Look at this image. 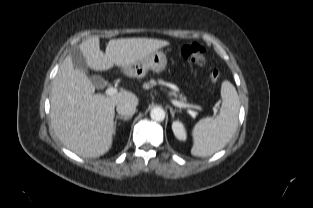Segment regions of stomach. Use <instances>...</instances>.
Instances as JSON below:
<instances>
[{
    "instance_id": "0dacf381",
    "label": "stomach",
    "mask_w": 313,
    "mask_h": 208,
    "mask_svg": "<svg viewBox=\"0 0 313 208\" xmlns=\"http://www.w3.org/2000/svg\"><path fill=\"white\" fill-rule=\"evenodd\" d=\"M167 66L166 55L162 51H154L146 57L124 68V73L129 77L142 78L148 70L156 73L163 72Z\"/></svg>"
}]
</instances>
